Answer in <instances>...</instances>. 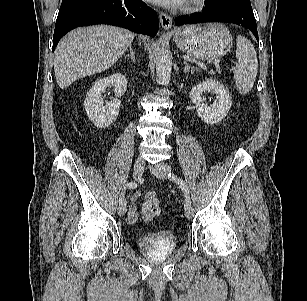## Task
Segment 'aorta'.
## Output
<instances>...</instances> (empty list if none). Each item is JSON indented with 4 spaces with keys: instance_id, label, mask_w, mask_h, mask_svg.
<instances>
[{
    "instance_id": "aorta-1",
    "label": "aorta",
    "mask_w": 307,
    "mask_h": 301,
    "mask_svg": "<svg viewBox=\"0 0 307 301\" xmlns=\"http://www.w3.org/2000/svg\"><path fill=\"white\" fill-rule=\"evenodd\" d=\"M172 56L168 49L160 46L156 55V74L161 85H168L171 79Z\"/></svg>"
}]
</instances>
